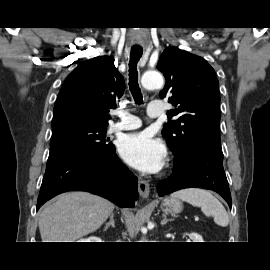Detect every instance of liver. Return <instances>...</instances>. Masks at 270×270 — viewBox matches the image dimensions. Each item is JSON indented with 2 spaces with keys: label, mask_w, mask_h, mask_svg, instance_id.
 <instances>
[{
  "label": "liver",
  "mask_w": 270,
  "mask_h": 270,
  "mask_svg": "<svg viewBox=\"0 0 270 270\" xmlns=\"http://www.w3.org/2000/svg\"><path fill=\"white\" fill-rule=\"evenodd\" d=\"M113 210V203L90 193L62 194L40 214L42 242H74L99 229Z\"/></svg>",
  "instance_id": "1"
}]
</instances>
